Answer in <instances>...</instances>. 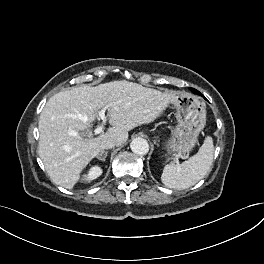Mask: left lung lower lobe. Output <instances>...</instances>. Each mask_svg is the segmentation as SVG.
I'll use <instances>...</instances> for the list:
<instances>
[{
	"label": "left lung lower lobe",
	"mask_w": 264,
	"mask_h": 264,
	"mask_svg": "<svg viewBox=\"0 0 264 264\" xmlns=\"http://www.w3.org/2000/svg\"><path fill=\"white\" fill-rule=\"evenodd\" d=\"M192 90V92H194V93H198V91L197 90H195V89H191Z\"/></svg>",
	"instance_id": "0a47b994"
}]
</instances>
